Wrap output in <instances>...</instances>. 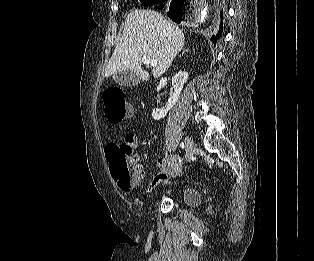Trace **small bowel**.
Returning <instances> with one entry per match:
<instances>
[{"mask_svg":"<svg viewBox=\"0 0 314 261\" xmlns=\"http://www.w3.org/2000/svg\"><path fill=\"white\" fill-rule=\"evenodd\" d=\"M127 138H130L134 145L137 144L136 137L134 136H127ZM133 163L136 173L139 175V179L144 178V169L141 164V156L139 153H135L133 155ZM179 166L178 159L173 157H160L156 160V167L159 170V173L152 179V181L149 183V185L146 188V192H152L159 184L166 181L171 171L174 169H177Z\"/></svg>","mask_w":314,"mask_h":261,"instance_id":"small-bowel-1","label":"small bowel"}]
</instances>
